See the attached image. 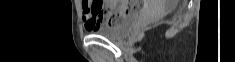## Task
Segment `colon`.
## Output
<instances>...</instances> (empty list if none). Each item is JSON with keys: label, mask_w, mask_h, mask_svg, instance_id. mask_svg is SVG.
Masks as SVG:
<instances>
[{"label": "colon", "mask_w": 235, "mask_h": 62, "mask_svg": "<svg viewBox=\"0 0 235 62\" xmlns=\"http://www.w3.org/2000/svg\"><path fill=\"white\" fill-rule=\"evenodd\" d=\"M127 1H121V2H112V6H111V15H110V19H109V24H115L117 22H119L125 15H127L130 10L128 8H126V6L124 5ZM95 9H102L104 7V5L102 3H98L95 2L94 3ZM139 6L135 5L132 8V11H136L138 10Z\"/></svg>", "instance_id": "obj_1"}]
</instances>
